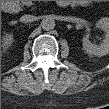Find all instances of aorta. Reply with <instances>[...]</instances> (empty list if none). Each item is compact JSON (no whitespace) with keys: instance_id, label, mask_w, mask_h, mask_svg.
Instances as JSON below:
<instances>
[{"instance_id":"aorta-1","label":"aorta","mask_w":109,"mask_h":109,"mask_svg":"<svg viewBox=\"0 0 109 109\" xmlns=\"http://www.w3.org/2000/svg\"><path fill=\"white\" fill-rule=\"evenodd\" d=\"M41 27L45 31L53 30L54 27H55V21H54V19L52 17H50V16L45 17L42 20V22H41Z\"/></svg>"}]
</instances>
